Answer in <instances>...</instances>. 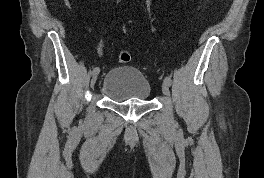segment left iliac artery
<instances>
[{
    "mask_svg": "<svg viewBox=\"0 0 264 178\" xmlns=\"http://www.w3.org/2000/svg\"><path fill=\"white\" fill-rule=\"evenodd\" d=\"M164 81H165L168 85H171V84H172L171 77H169V76L165 77Z\"/></svg>",
    "mask_w": 264,
    "mask_h": 178,
    "instance_id": "44dca946",
    "label": "left iliac artery"
}]
</instances>
